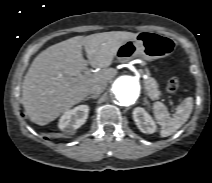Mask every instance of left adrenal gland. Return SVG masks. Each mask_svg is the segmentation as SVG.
Listing matches in <instances>:
<instances>
[{
    "label": "left adrenal gland",
    "instance_id": "a2214340",
    "mask_svg": "<svg viewBox=\"0 0 212 183\" xmlns=\"http://www.w3.org/2000/svg\"><path fill=\"white\" fill-rule=\"evenodd\" d=\"M144 104H149L147 97H144Z\"/></svg>",
    "mask_w": 212,
    "mask_h": 183
}]
</instances>
